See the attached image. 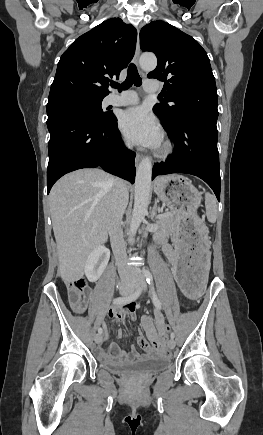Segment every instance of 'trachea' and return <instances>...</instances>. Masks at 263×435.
<instances>
[{
  "label": "trachea",
  "instance_id": "trachea-1",
  "mask_svg": "<svg viewBox=\"0 0 263 435\" xmlns=\"http://www.w3.org/2000/svg\"><path fill=\"white\" fill-rule=\"evenodd\" d=\"M133 84L139 87L142 84V80L138 73L137 67L131 63L128 67V73L125 81L121 84L113 83L112 87L118 88V91L121 92L122 90L129 89Z\"/></svg>",
  "mask_w": 263,
  "mask_h": 435
}]
</instances>
